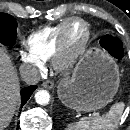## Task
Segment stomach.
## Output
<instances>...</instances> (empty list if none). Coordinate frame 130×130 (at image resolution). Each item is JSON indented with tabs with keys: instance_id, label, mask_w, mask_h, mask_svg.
Listing matches in <instances>:
<instances>
[{
	"instance_id": "0dacf381",
	"label": "stomach",
	"mask_w": 130,
	"mask_h": 130,
	"mask_svg": "<svg viewBox=\"0 0 130 130\" xmlns=\"http://www.w3.org/2000/svg\"><path fill=\"white\" fill-rule=\"evenodd\" d=\"M120 77L115 61L100 49L86 52L71 79L58 86V97L67 107L89 112L103 108L117 93Z\"/></svg>"
}]
</instances>
